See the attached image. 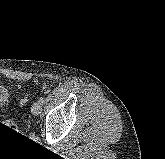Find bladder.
I'll use <instances>...</instances> for the list:
<instances>
[{"label":"bladder","instance_id":"1","mask_svg":"<svg viewBox=\"0 0 165 159\" xmlns=\"http://www.w3.org/2000/svg\"><path fill=\"white\" fill-rule=\"evenodd\" d=\"M6 94V89L4 86L0 85V100L3 99V97Z\"/></svg>","mask_w":165,"mask_h":159}]
</instances>
